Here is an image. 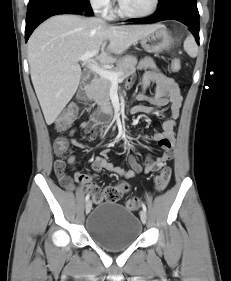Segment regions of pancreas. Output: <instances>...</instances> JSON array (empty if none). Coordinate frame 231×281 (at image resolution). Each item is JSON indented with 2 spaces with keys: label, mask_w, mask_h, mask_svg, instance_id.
Listing matches in <instances>:
<instances>
[{
  "label": "pancreas",
  "mask_w": 231,
  "mask_h": 281,
  "mask_svg": "<svg viewBox=\"0 0 231 281\" xmlns=\"http://www.w3.org/2000/svg\"><path fill=\"white\" fill-rule=\"evenodd\" d=\"M136 64V57L126 55L118 61L117 66L111 71L121 72L122 75L119 77V79L124 80L135 73ZM111 86L112 82L109 79H106L101 76L95 78L90 86L89 97L95 101V103L103 112L112 111V106L110 103Z\"/></svg>",
  "instance_id": "pancreas-1"
}]
</instances>
